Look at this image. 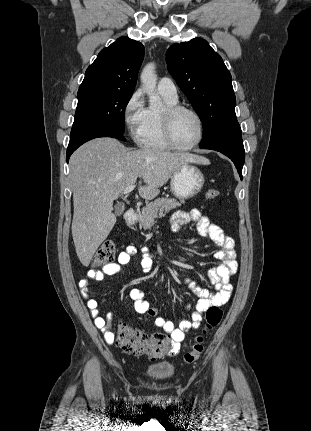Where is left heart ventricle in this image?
Returning a JSON list of instances; mask_svg holds the SVG:
<instances>
[{
  "label": "left heart ventricle",
  "mask_w": 311,
  "mask_h": 431,
  "mask_svg": "<svg viewBox=\"0 0 311 431\" xmlns=\"http://www.w3.org/2000/svg\"><path fill=\"white\" fill-rule=\"evenodd\" d=\"M200 135V124L195 115L182 112L174 123V137L180 146L193 144Z\"/></svg>",
  "instance_id": "b2bd125f"
}]
</instances>
